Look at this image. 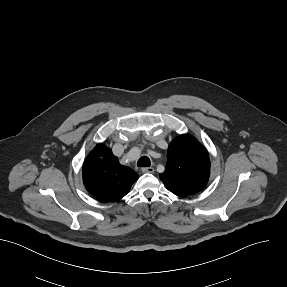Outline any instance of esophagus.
Returning a JSON list of instances; mask_svg holds the SVG:
<instances>
[{
  "label": "esophagus",
  "instance_id": "1",
  "mask_svg": "<svg viewBox=\"0 0 287 287\" xmlns=\"http://www.w3.org/2000/svg\"><path fill=\"white\" fill-rule=\"evenodd\" d=\"M141 170L143 173H153L154 172L153 167H143Z\"/></svg>",
  "mask_w": 287,
  "mask_h": 287
}]
</instances>
